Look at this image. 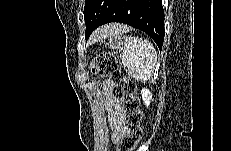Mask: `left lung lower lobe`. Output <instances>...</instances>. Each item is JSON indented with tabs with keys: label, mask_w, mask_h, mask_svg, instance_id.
Listing matches in <instances>:
<instances>
[{
	"label": "left lung lower lobe",
	"mask_w": 231,
	"mask_h": 151,
	"mask_svg": "<svg viewBox=\"0 0 231 151\" xmlns=\"http://www.w3.org/2000/svg\"><path fill=\"white\" fill-rule=\"evenodd\" d=\"M109 22L124 23L145 32L162 50L165 33L162 0H113L96 28ZM92 32L85 35L86 40Z\"/></svg>",
	"instance_id": "1"
}]
</instances>
